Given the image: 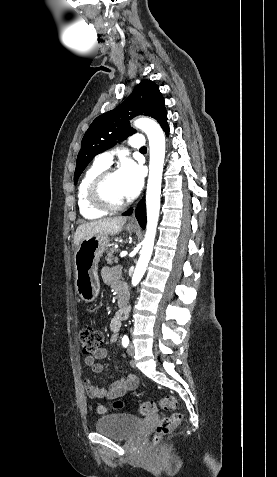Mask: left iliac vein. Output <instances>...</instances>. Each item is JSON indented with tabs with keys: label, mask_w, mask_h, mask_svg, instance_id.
<instances>
[{
	"label": "left iliac vein",
	"mask_w": 277,
	"mask_h": 477,
	"mask_svg": "<svg viewBox=\"0 0 277 477\" xmlns=\"http://www.w3.org/2000/svg\"><path fill=\"white\" fill-rule=\"evenodd\" d=\"M127 353L130 355V356H133L134 353H135V348H134V345L133 344H129V346L127 347ZM132 366L134 367L135 365L132 364Z\"/></svg>",
	"instance_id": "obj_1"
}]
</instances>
